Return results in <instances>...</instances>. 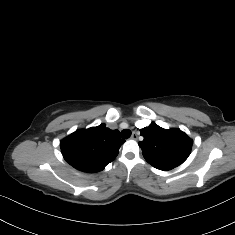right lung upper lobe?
Here are the masks:
<instances>
[{"label":"right lung upper lobe","instance_id":"obj_1","mask_svg":"<svg viewBox=\"0 0 235 235\" xmlns=\"http://www.w3.org/2000/svg\"><path fill=\"white\" fill-rule=\"evenodd\" d=\"M124 141L118 130H111L100 124L89 129H79L60 142L62 155L75 169L96 173L118 155Z\"/></svg>","mask_w":235,"mask_h":235}]
</instances>
